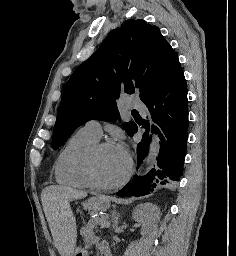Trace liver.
I'll list each match as a JSON object with an SVG mask.
<instances>
[{
	"instance_id": "1",
	"label": "liver",
	"mask_w": 236,
	"mask_h": 256,
	"mask_svg": "<svg viewBox=\"0 0 236 256\" xmlns=\"http://www.w3.org/2000/svg\"><path fill=\"white\" fill-rule=\"evenodd\" d=\"M87 192L65 188V186H48L44 188L41 198L42 206L61 256H72L76 244V220L70 210L69 202L86 198ZM67 220V234H62L63 224Z\"/></svg>"
}]
</instances>
